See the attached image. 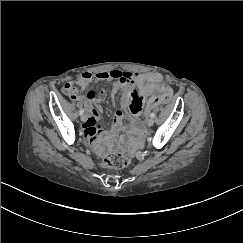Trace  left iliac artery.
<instances>
[{"mask_svg": "<svg viewBox=\"0 0 243 243\" xmlns=\"http://www.w3.org/2000/svg\"><path fill=\"white\" fill-rule=\"evenodd\" d=\"M150 117H151V118H154V117H155V113H151V114H150Z\"/></svg>", "mask_w": 243, "mask_h": 243, "instance_id": "1", "label": "left iliac artery"}]
</instances>
